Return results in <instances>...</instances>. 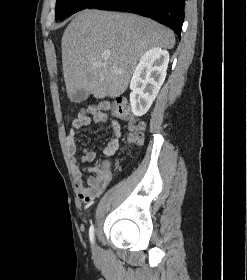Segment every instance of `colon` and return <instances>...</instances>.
Returning a JSON list of instances; mask_svg holds the SVG:
<instances>
[{"label":"colon","instance_id":"obj_1","mask_svg":"<svg viewBox=\"0 0 247 280\" xmlns=\"http://www.w3.org/2000/svg\"><path fill=\"white\" fill-rule=\"evenodd\" d=\"M107 110L113 112V114L116 117H118L120 119H124L129 122L130 130H131V134H130L131 141H133L135 143H139L141 141L142 123L137 122L135 120V118L131 115L129 106H128L127 102L123 99H117L116 101H113V102L105 101V102H101L98 105H91L86 110L82 111L81 114H83L85 112L94 114L99 111H107ZM91 170L94 172L95 176H97L99 178H104L107 176V174L109 172L108 163L104 162V163L95 165Z\"/></svg>","mask_w":247,"mask_h":280}]
</instances>
